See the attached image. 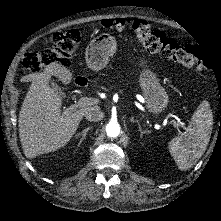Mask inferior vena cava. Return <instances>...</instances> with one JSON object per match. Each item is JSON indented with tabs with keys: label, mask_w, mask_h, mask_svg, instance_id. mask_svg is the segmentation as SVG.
<instances>
[{
	"label": "inferior vena cava",
	"mask_w": 221,
	"mask_h": 221,
	"mask_svg": "<svg viewBox=\"0 0 221 221\" xmlns=\"http://www.w3.org/2000/svg\"><path fill=\"white\" fill-rule=\"evenodd\" d=\"M84 116L90 122H98L105 118L104 112L100 111L96 107L90 108L89 111L84 114Z\"/></svg>",
	"instance_id": "1"
}]
</instances>
